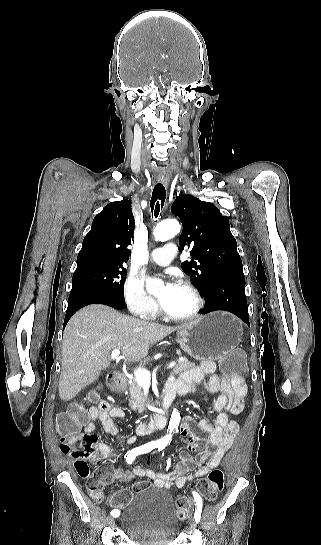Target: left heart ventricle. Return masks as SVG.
<instances>
[{"label":"left heart ventricle","mask_w":321,"mask_h":545,"mask_svg":"<svg viewBox=\"0 0 321 545\" xmlns=\"http://www.w3.org/2000/svg\"><path fill=\"white\" fill-rule=\"evenodd\" d=\"M195 305L196 301L192 293L179 286L164 310L170 314L188 315L194 310Z\"/></svg>","instance_id":"b2bd125f"}]
</instances>
